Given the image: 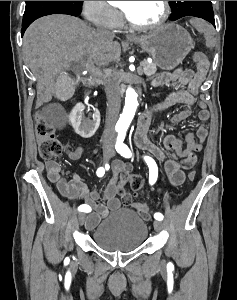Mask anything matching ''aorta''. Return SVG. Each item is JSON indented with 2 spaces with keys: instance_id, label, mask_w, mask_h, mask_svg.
Wrapping results in <instances>:
<instances>
[{
  "instance_id": "obj_1",
  "label": "aorta",
  "mask_w": 237,
  "mask_h": 300,
  "mask_svg": "<svg viewBox=\"0 0 237 300\" xmlns=\"http://www.w3.org/2000/svg\"><path fill=\"white\" fill-rule=\"evenodd\" d=\"M138 107L137 101V93H135L134 89H127L126 97H125V105L123 109L122 115H120V119L117 123L119 129H125L127 131Z\"/></svg>"
}]
</instances>
